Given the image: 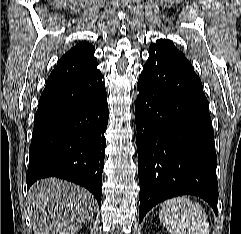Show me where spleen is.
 <instances>
[{"label":"spleen","mask_w":241,"mask_h":234,"mask_svg":"<svg viewBox=\"0 0 241 234\" xmlns=\"http://www.w3.org/2000/svg\"><path fill=\"white\" fill-rule=\"evenodd\" d=\"M159 219L170 234H209L207 214L197 202L181 196L164 201Z\"/></svg>","instance_id":"spleen-1"}]
</instances>
